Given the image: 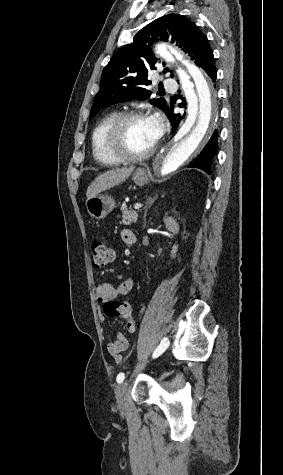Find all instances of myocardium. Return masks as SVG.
<instances>
[{
  "instance_id": "1",
  "label": "myocardium",
  "mask_w": 283,
  "mask_h": 475,
  "mask_svg": "<svg viewBox=\"0 0 283 475\" xmlns=\"http://www.w3.org/2000/svg\"><path fill=\"white\" fill-rule=\"evenodd\" d=\"M143 111L141 110H133L122 113L111 125L109 131L105 137L104 145L102 150L107 149L109 146L113 144L121 143L122 135L124 133L125 127L127 124L137 118L145 117ZM158 142L146 153L137 157H119V158H111L104 155L101 152V158L103 162H134L135 164H141L147 161L157 150Z\"/></svg>"
}]
</instances>
